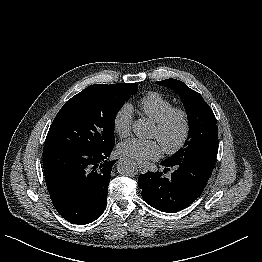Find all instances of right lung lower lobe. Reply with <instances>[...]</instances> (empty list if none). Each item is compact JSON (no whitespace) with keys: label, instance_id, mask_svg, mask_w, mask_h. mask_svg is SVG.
Returning <instances> with one entry per match:
<instances>
[{"label":"right lung lower lobe","instance_id":"98d812e1","mask_svg":"<svg viewBox=\"0 0 262 262\" xmlns=\"http://www.w3.org/2000/svg\"><path fill=\"white\" fill-rule=\"evenodd\" d=\"M113 147H44L47 189L54 207L67 221L88 224L105 210L110 173L116 162L107 161Z\"/></svg>","mask_w":262,"mask_h":262}]
</instances>
